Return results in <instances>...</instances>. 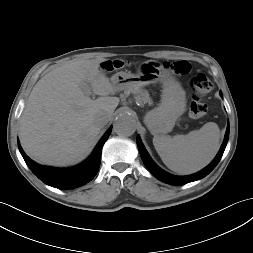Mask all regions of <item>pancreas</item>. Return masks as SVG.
<instances>
[{"label": "pancreas", "instance_id": "obj_1", "mask_svg": "<svg viewBox=\"0 0 253 253\" xmlns=\"http://www.w3.org/2000/svg\"><path fill=\"white\" fill-rule=\"evenodd\" d=\"M135 94V98L140 103H150L151 98L149 97V93L140 88L131 90Z\"/></svg>", "mask_w": 253, "mask_h": 253}]
</instances>
